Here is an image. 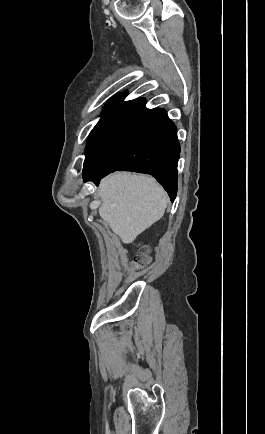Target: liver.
<instances>
[{
    "mask_svg": "<svg viewBox=\"0 0 265 434\" xmlns=\"http://www.w3.org/2000/svg\"><path fill=\"white\" fill-rule=\"evenodd\" d=\"M99 214L123 244H131L165 214L168 196L149 176L118 172L104 178L99 194Z\"/></svg>",
    "mask_w": 265,
    "mask_h": 434,
    "instance_id": "liver-1",
    "label": "liver"
}]
</instances>
